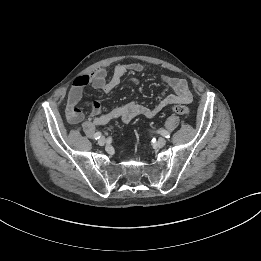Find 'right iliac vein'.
Instances as JSON below:
<instances>
[{"label":"right iliac vein","mask_w":261,"mask_h":261,"mask_svg":"<svg viewBox=\"0 0 261 261\" xmlns=\"http://www.w3.org/2000/svg\"><path fill=\"white\" fill-rule=\"evenodd\" d=\"M105 143H106V139H105L104 137H101V138L98 140V144H99L100 146H104Z\"/></svg>","instance_id":"right-iliac-vein-1"}]
</instances>
